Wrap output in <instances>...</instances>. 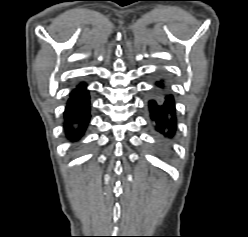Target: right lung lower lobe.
<instances>
[{"label": "right lung lower lobe", "mask_w": 248, "mask_h": 237, "mask_svg": "<svg viewBox=\"0 0 248 237\" xmlns=\"http://www.w3.org/2000/svg\"><path fill=\"white\" fill-rule=\"evenodd\" d=\"M89 117V96L82 87H78L72 92L64 113L68 137L73 140L79 139L87 126Z\"/></svg>", "instance_id": "1"}]
</instances>
